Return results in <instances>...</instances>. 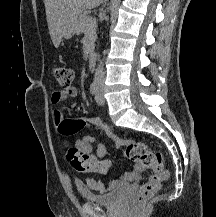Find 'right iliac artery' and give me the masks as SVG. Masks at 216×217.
<instances>
[{
	"label": "right iliac artery",
	"instance_id": "right-iliac-artery-1",
	"mask_svg": "<svg viewBox=\"0 0 216 217\" xmlns=\"http://www.w3.org/2000/svg\"><path fill=\"white\" fill-rule=\"evenodd\" d=\"M97 90H98V84L96 81H93L92 84L90 85V93L94 95L96 94Z\"/></svg>",
	"mask_w": 216,
	"mask_h": 217
}]
</instances>
